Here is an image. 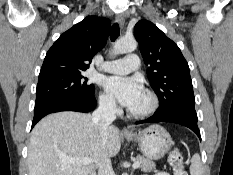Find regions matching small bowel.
Instances as JSON below:
<instances>
[{"label": "small bowel", "mask_w": 233, "mask_h": 175, "mask_svg": "<svg viewBox=\"0 0 233 175\" xmlns=\"http://www.w3.org/2000/svg\"><path fill=\"white\" fill-rule=\"evenodd\" d=\"M155 175H170L169 173L165 172V171H161Z\"/></svg>", "instance_id": "small-bowel-1"}]
</instances>
